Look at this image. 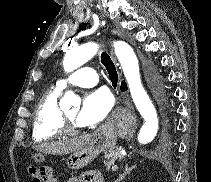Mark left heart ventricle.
<instances>
[{
  "label": "left heart ventricle",
  "mask_w": 211,
  "mask_h": 182,
  "mask_svg": "<svg viewBox=\"0 0 211 182\" xmlns=\"http://www.w3.org/2000/svg\"><path fill=\"white\" fill-rule=\"evenodd\" d=\"M66 114L70 119H72L76 123L77 111H67Z\"/></svg>",
  "instance_id": "1"
}]
</instances>
